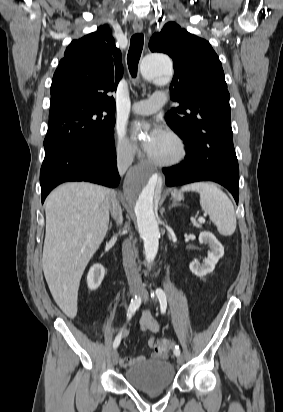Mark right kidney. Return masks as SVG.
Listing matches in <instances>:
<instances>
[{
	"label": "right kidney",
	"instance_id": "1",
	"mask_svg": "<svg viewBox=\"0 0 283 412\" xmlns=\"http://www.w3.org/2000/svg\"><path fill=\"white\" fill-rule=\"evenodd\" d=\"M105 269L101 264L91 266L87 275V285L90 290H96L102 283Z\"/></svg>",
	"mask_w": 283,
	"mask_h": 412
}]
</instances>
